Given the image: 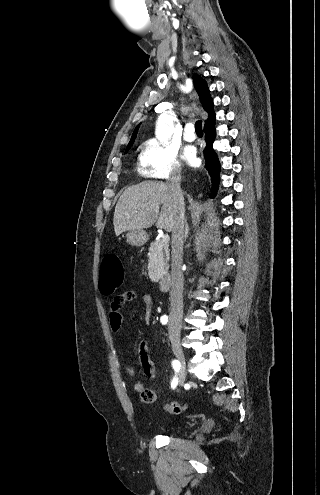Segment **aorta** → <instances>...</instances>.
I'll return each mask as SVG.
<instances>
[{
    "label": "aorta",
    "mask_w": 320,
    "mask_h": 495,
    "mask_svg": "<svg viewBox=\"0 0 320 495\" xmlns=\"http://www.w3.org/2000/svg\"><path fill=\"white\" fill-rule=\"evenodd\" d=\"M174 131V113L166 112L161 114L156 121V138L166 144L170 140Z\"/></svg>",
    "instance_id": "762f6f07"
}]
</instances>
